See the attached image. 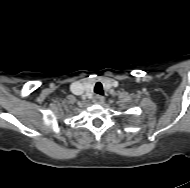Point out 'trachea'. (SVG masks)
Instances as JSON below:
<instances>
[{
  "instance_id": "trachea-1",
  "label": "trachea",
  "mask_w": 190,
  "mask_h": 188,
  "mask_svg": "<svg viewBox=\"0 0 190 188\" xmlns=\"http://www.w3.org/2000/svg\"><path fill=\"white\" fill-rule=\"evenodd\" d=\"M94 92L96 94L103 95V87H102V84L100 82L96 83L95 88H94Z\"/></svg>"
}]
</instances>
